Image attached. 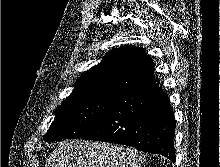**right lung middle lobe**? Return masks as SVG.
<instances>
[{
  "instance_id": "obj_1",
  "label": "right lung middle lobe",
  "mask_w": 220,
  "mask_h": 167,
  "mask_svg": "<svg viewBox=\"0 0 220 167\" xmlns=\"http://www.w3.org/2000/svg\"><path fill=\"white\" fill-rule=\"evenodd\" d=\"M114 98L91 96L66 99L55 112V119L43 136L47 142L77 139L102 120Z\"/></svg>"
}]
</instances>
